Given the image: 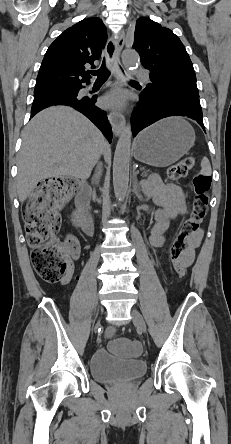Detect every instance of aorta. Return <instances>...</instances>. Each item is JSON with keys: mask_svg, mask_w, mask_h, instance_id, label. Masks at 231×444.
Masks as SVG:
<instances>
[{"mask_svg": "<svg viewBox=\"0 0 231 444\" xmlns=\"http://www.w3.org/2000/svg\"><path fill=\"white\" fill-rule=\"evenodd\" d=\"M122 62L127 69H136L139 65V55L132 50L124 51ZM131 138V126L127 124L117 142L113 161V187L119 201L124 200L128 190Z\"/></svg>", "mask_w": 231, "mask_h": 444, "instance_id": "1", "label": "aorta"}]
</instances>
